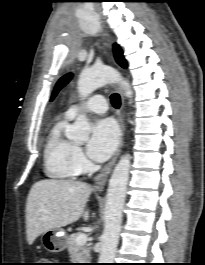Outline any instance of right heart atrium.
Listing matches in <instances>:
<instances>
[{
	"instance_id": "right-heart-atrium-1",
	"label": "right heart atrium",
	"mask_w": 205,
	"mask_h": 265,
	"mask_svg": "<svg viewBox=\"0 0 205 265\" xmlns=\"http://www.w3.org/2000/svg\"><path fill=\"white\" fill-rule=\"evenodd\" d=\"M75 164L78 169V171H82L87 166V160L80 148L76 147L75 150Z\"/></svg>"
}]
</instances>
